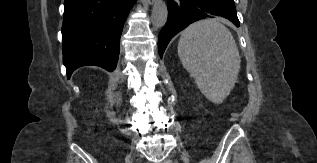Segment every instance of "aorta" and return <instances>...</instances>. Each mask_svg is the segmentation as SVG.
Masks as SVG:
<instances>
[{
	"instance_id": "1",
	"label": "aorta",
	"mask_w": 317,
	"mask_h": 163,
	"mask_svg": "<svg viewBox=\"0 0 317 163\" xmlns=\"http://www.w3.org/2000/svg\"><path fill=\"white\" fill-rule=\"evenodd\" d=\"M168 17L166 3L163 0H155L152 9L151 21L154 27L161 28L165 25Z\"/></svg>"
}]
</instances>
